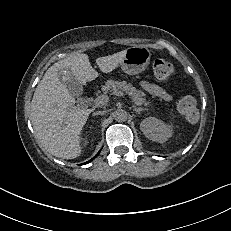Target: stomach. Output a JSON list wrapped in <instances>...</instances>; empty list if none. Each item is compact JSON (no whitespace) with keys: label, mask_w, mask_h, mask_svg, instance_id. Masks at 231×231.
Returning a JSON list of instances; mask_svg holds the SVG:
<instances>
[{"label":"stomach","mask_w":231,"mask_h":231,"mask_svg":"<svg viewBox=\"0 0 231 231\" xmlns=\"http://www.w3.org/2000/svg\"><path fill=\"white\" fill-rule=\"evenodd\" d=\"M151 52L145 46H133L126 50V54L120 63L121 69L128 75H136L143 72L150 63Z\"/></svg>","instance_id":"obj_1"}]
</instances>
